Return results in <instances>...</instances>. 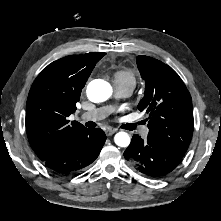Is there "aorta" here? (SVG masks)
Returning <instances> with one entry per match:
<instances>
[{"label":"aorta","mask_w":221,"mask_h":221,"mask_svg":"<svg viewBox=\"0 0 221 221\" xmlns=\"http://www.w3.org/2000/svg\"><path fill=\"white\" fill-rule=\"evenodd\" d=\"M112 95L111 85L101 79L91 81L87 86V97L94 103L104 102ZM116 145L127 147L130 144V137L126 132H118L114 136Z\"/></svg>","instance_id":"1"}]
</instances>
